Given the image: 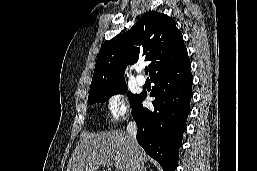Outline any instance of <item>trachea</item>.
I'll use <instances>...</instances> for the list:
<instances>
[{
	"label": "trachea",
	"instance_id": "trachea-1",
	"mask_svg": "<svg viewBox=\"0 0 257 171\" xmlns=\"http://www.w3.org/2000/svg\"><path fill=\"white\" fill-rule=\"evenodd\" d=\"M148 73V68H145V74H147Z\"/></svg>",
	"mask_w": 257,
	"mask_h": 171
}]
</instances>
